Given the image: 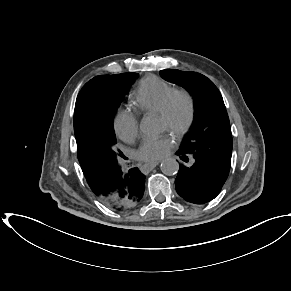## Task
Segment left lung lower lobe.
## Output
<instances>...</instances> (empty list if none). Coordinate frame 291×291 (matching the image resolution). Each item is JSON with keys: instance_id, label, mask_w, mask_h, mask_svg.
<instances>
[{"instance_id": "obj_1", "label": "left lung lower lobe", "mask_w": 291, "mask_h": 291, "mask_svg": "<svg viewBox=\"0 0 291 291\" xmlns=\"http://www.w3.org/2000/svg\"><path fill=\"white\" fill-rule=\"evenodd\" d=\"M176 154L180 155L184 161L188 160L187 156L180 151ZM193 158L194 164L191 167L179 165L175 188L185 201L205 204L219 194L230 169L210 160Z\"/></svg>"}]
</instances>
